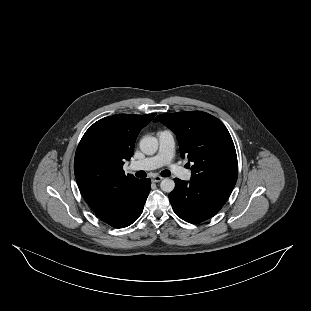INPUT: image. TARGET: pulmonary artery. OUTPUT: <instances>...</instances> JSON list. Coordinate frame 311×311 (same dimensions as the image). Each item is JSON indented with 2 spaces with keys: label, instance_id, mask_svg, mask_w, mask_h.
<instances>
[{
  "label": "pulmonary artery",
  "instance_id": "obj_1",
  "mask_svg": "<svg viewBox=\"0 0 311 311\" xmlns=\"http://www.w3.org/2000/svg\"><path fill=\"white\" fill-rule=\"evenodd\" d=\"M158 152L156 155L130 164L129 168L133 171H152L162 166H168L175 174L183 180H190L191 171L185 170L180 166L172 163L175 155V139L173 133L169 130L159 131Z\"/></svg>",
  "mask_w": 311,
  "mask_h": 311
}]
</instances>
